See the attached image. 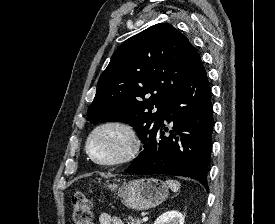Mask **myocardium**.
Here are the masks:
<instances>
[{
  "instance_id": "obj_1",
  "label": "myocardium",
  "mask_w": 275,
  "mask_h": 224,
  "mask_svg": "<svg viewBox=\"0 0 275 224\" xmlns=\"http://www.w3.org/2000/svg\"><path fill=\"white\" fill-rule=\"evenodd\" d=\"M107 128H116L123 131L128 139L129 147L126 153L118 159L112 161L98 160L90 150V143L92 138L101 130ZM140 149V140L135 129L127 122L122 120H106L96 125L88 134L85 141V150L89 158L97 165L103 167H114L124 165L132 161L138 154Z\"/></svg>"
}]
</instances>
